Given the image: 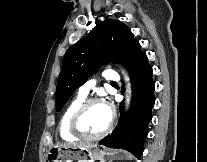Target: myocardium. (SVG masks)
<instances>
[{"label": "myocardium", "instance_id": "1", "mask_svg": "<svg viewBox=\"0 0 207 162\" xmlns=\"http://www.w3.org/2000/svg\"><path fill=\"white\" fill-rule=\"evenodd\" d=\"M94 104H104V103L99 98L86 99L83 103L80 104V106L72 114L69 121V130L74 136L86 140H97L103 138L111 131L115 118L112 109H110V120L108 122V125L102 132L95 135H89L81 129L80 123L83 115Z\"/></svg>", "mask_w": 207, "mask_h": 162}]
</instances>
